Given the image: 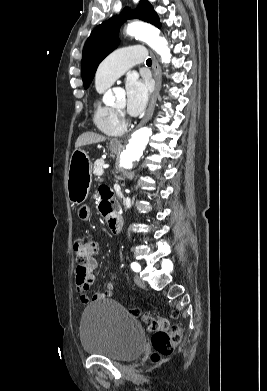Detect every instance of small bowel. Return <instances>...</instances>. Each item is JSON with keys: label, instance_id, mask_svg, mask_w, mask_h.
<instances>
[{"label": "small bowel", "instance_id": "c3829d8e", "mask_svg": "<svg viewBox=\"0 0 267 391\" xmlns=\"http://www.w3.org/2000/svg\"><path fill=\"white\" fill-rule=\"evenodd\" d=\"M102 203L111 204V191L109 187L107 186H101L99 190ZM101 203V204H102ZM78 217L81 220H87L89 218V208L82 206L78 209ZM95 268H96V261H93L92 267L87 272H82L78 269H76V288L77 292L79 294V299L83 304H87L89 302H97L100 300H104L106 298H110L113 295V279L114 275L111 274V279L109 283L107 284V288L104 291L96 293L92 299H90L87 296V291L92 284L94 277H95Z\"/></svg>", "mask_w": 267, "mask_h": 391}]
</instances>
